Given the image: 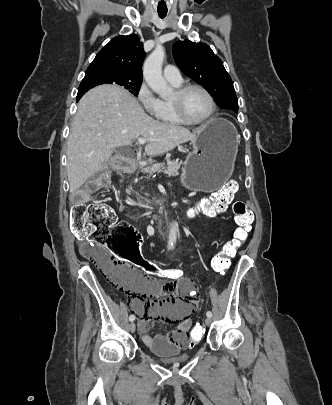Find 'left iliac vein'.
<instances>
[{
  "label": "left iliac vein",
  "instance_id": "1",
  "mask_svg": "<svg viewBox=\"0 0 332 405\" xmlns=\"http://www.w3.org/2000/svg\"><path fill=\"white\" fill-rule=\"evenodd\" d=\"M211 323H212L211 317H207V318L205 319V324H206L207 326H209V325H211Z\"/></svg>",
  "mask_w": 332,
  "mask_h": 405
}]
</instances>
